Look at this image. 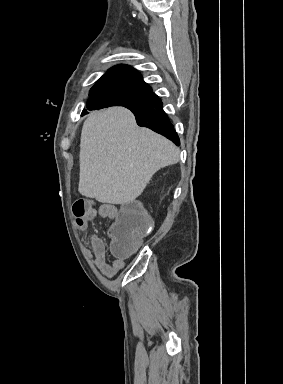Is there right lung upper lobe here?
<instances>
[{"label":"right lung upper lobe","mask_w":283,"mask_h":384,"mask_svg":"<svg viewBox=\"0 0 283 384\" xmlns=\"http://www.w3.org/2000/svg\"><path fill=\"white\" fill-rule=\"evenodd\" d=\"M95 86H123L151 91L141 74L127 65H117L104 74Z\"/></svg>","instance_id":"right-lung-upper-lobe-1"}]
</instances>
